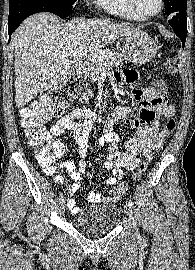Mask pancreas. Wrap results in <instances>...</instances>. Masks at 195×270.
<instances>
[{"label": "pancreas", "instance_id": "pancreas-1", "mask_svg": "<svg viewBox=\"0 0 195 270\" xmlns=\"http://www.w3.org/2000/svg\"><path fill=\"white\" fill-rule=\"evenodd\" d=\"M105 52L110 56L108 61H100L88 59L82 65V75L85 79L96 80L104 68V64L108 62L111 67H121L124 64L123 54L113 49H107Z\"/></svg>", "mask_w": 195, "mask_h": 270}]
</instances>
